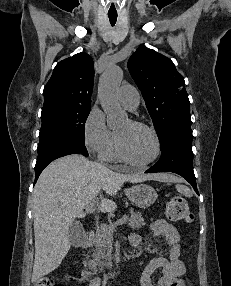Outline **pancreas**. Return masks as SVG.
Instances as JSON below:
<instances>
[{"instance_id":"cf45deb5","label":"pancreas","mask_w":231,"mask_h":286,"mask_svg":"<svg viewBox=\"0 0 231 286\" xmlns=\"http://www.w3.org/2000/svg\"><path fill=\"white\" fill-rule=\"evenodd\" d=\"M128 221V225L134 229H139L144 225L143 217L136 212H131ZM110 226L111 225L102 224L91 237V242L95 247V251L92 254L93 259L90 260L87 265L92 270H102L105 266L109 265L106 250L108 242L112 239V233L109 231Z\"/></svg>"}]
</instances>
